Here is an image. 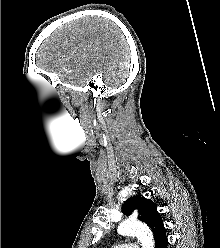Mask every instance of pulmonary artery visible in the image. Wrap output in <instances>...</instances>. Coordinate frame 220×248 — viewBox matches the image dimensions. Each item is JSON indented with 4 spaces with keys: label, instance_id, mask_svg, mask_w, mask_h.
<instances>
[{
    "label": "pulmonary artery",
    "instance_id": "obj_1",
    "mask_svg": "<svg viewBox=\"0 0 220 248\" xmlns=\"http://www.w3.org/2000/svg\"><path fill=\"white\" fill-rule=\"evenodd\" d=\"M114 248H138V246L135 244H121L115 246Z\"/></svg>",
    "mask_w": 220,
    "mask_h": 248
}]
</instances>
